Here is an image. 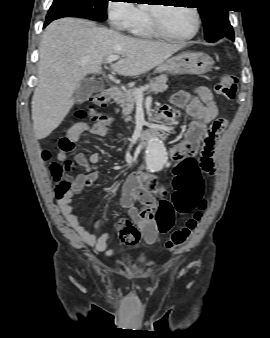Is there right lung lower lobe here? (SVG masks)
Returning a JSON list of instances; mask_svg holds the SVG:
<instances>
[{
  "instance_id": "98d812e1",
  "label": "right lung lower lobe",
  "mask_w": 270,
  "mask_h": 338,
  "mask_svg": "<svg viewBox=\"0 0 270 338\" xmlns=\"http://www.w3.org/2000/svg\"><path fill=\"white\" fill-rule=\"evenodd\" d=\"M50 22H51V20H46V22H45V24H44V27H45L46 25H48Z\"/></svg>"
}]
</instances>
